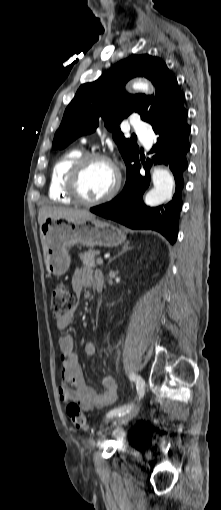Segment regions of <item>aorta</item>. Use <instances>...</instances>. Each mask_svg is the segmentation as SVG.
<instances>
[{
	"mask_svg": "<svg viewBox=\"0 0 221 510\" xmlns=\"http://www.w3.org/2000/svg\"><path fill=\"white\" fill-rule=\"evenodd\" d=\"M133 88L146 93L150 92L149 85L142 81L135 82ZM152 181L154 187L146 194L145 203L148 206L154 207L172 197L174 178L168 170L156 167L152 173Z\"/></svg>",
	"mask_w": 221,
	"mask_h": 510,
	"instance_id": "762f6f07",
	"label": "aorta"
}]
</instances>
